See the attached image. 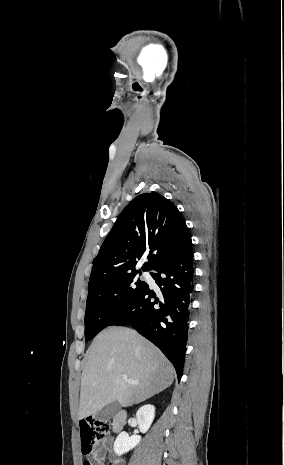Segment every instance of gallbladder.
<instances>
[{
	"mask_svg": "<svg viewBox=\"0 0 284 465\" xmlns=\"http://www.w3.org/2000/svg\"><path fill=\"white\" fill-rule=\"evenodd\" d=\"M119 411L120 403H118V401H113V403H109L107 407L98 411L97 415H95L96 421H102V423H105V421H111V419H113Z\"/></svg>",
	"mask_w": 284,
	"mask_h": 465,
	"instance_id": "obj_1",
	"label": "gallbladder"
}]
</instances>
